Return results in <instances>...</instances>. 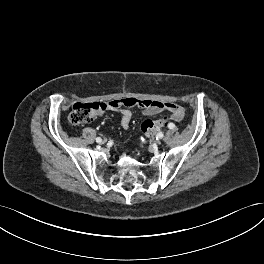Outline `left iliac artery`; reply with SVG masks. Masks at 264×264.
<instances>
[{"mask_svg": "<svg viewBox=\"0 0 264 264\" xmlns=\"http://www.w3.org/2000/svg\"><path fill=\"white\" fill-rule=\"evenodd\" d=\"M168 127H169V129H174V128H175V125H174L173 123H170V124L168 125Z\"/></svg>", "mask_w": 264, "mask_h": 264, "instance_id": "left-iliac-artery-1", "label": "left iliac artery"}]
</instances>
